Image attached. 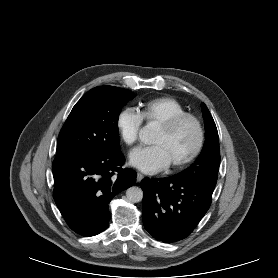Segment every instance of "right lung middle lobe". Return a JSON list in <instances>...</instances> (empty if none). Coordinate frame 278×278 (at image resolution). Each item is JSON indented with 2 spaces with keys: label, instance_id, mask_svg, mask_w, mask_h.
Masks as SVG:
<instances>
[{
  "label": "right lung middle lobe",
  "instance_id": "right-lung-middle-lobe-1",
  "mask_svg": "<svg viewBox=\"0 0 278 278\" xmlns=\"http://www.w3.org/2000/svg\"><path fill=\"white\" fill-rule=\"evenodd\" d=\"M134 97L130 90L113 86L87 92L59 133L55 160L120 150L118 117L122 107Z\"/></svg>",
  "mask_w": 278,
  "mask_h": 278
}]
</instances>
